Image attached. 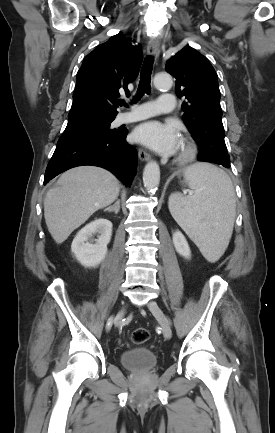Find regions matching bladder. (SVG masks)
I'll return each instance as SVG.
<instances>
[{"label":"bladder","mask_w":275,"mask_h":433,"mask_svg":"<svg viewBox=\"0 0 275 433\" xmlns=\"http://www.w3.org/2000/svg\"><path fill=\"white\" fill-rule=\"evenodd\" d=\"M157 356L149 348L138 346L124 350L120 355L121 365L131 371L144 372L157 365Z\"/></svg>","instance_id":"obj_1"}]
</instances>
